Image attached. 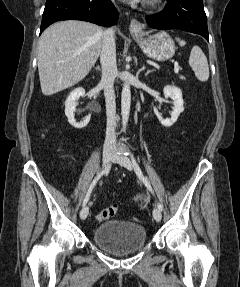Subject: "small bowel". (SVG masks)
<instances>
[{"label": "small bowel", "instance_id": "small-bowel-1", "mask_svg": "<svg viewBox=\"0 0 240 287\" xmlns=\"http://www.w3.org/2000/svg\"><path fill=\"white\" fill-rule=\"evenodd\" d=\"M134 201L138 203L140 206H143L147 202V197L143 194H140L134 198Z\"/></svg>", "mask_w": 240, "mask_h": 287}]
</instances>
